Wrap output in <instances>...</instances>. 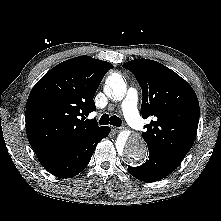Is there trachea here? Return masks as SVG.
<instances>
[{
    "instance_id": "3493384b",
    "label": "trachea",
    "mask_w": 221,
    "mask_h": 221,
    "mask_svg": "<svg viewBox=\"0 0 221 221\" xmlns=\"http://www.w3.org/2000/svg\"><path fill=\"white\" fill-rule=\"evenodd\" d=\"M99 123L101 125H112V126H116V127H120L122 121L119 117L117 116H109L108 114H103L99 120Z\"/></svg>"
}]
</instances>
